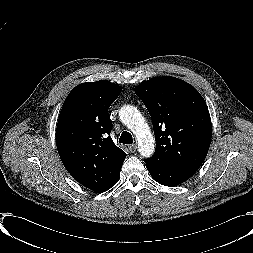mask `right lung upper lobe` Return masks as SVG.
I'll return each mask as SVG.
<instances>
[{
    "mask_svg": "<svg viewBox=\"0 0 253 253\" xmlns=\"http://www.w3.org/2000/svg\"><path fill=\"white\" fill-rule=\"evenodd\" d=\"M121 87L106 80L76 86L67 96L56 129L60 158L83 186L104 192L120 177L126 153L110 137L108 109Z\"/></svg>",
    "mask_w": 253,
    "mask_h": 253,
    "instance_id": "1",
    "label": "right lung upper lobe"
}]
</instances>
